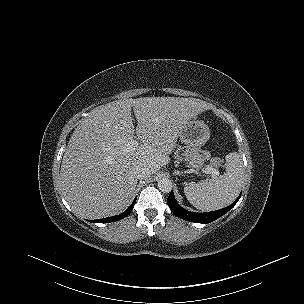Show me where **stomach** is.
I'll list each match as a JSON object with an SVG mask.
<instances>
[{
    "mask_svg": "<svg viewBox=\"0 0 304 304\" xmlns=\"http://www.w3.org/2000/svg\"><path fill=\"white\" fill-rule=\"evenodd\" d=\"M181 141L187 145L183 160L191 170H200L204 167L206 157L200 152V148L210 138V129L204 121L194 118L189 120L180 131Z\"/></svg>",
    "mask_w": 304,
    "mask_h": 304,
    "instance_id": "stomach-1",
    "label": "stomach"
}]
</instances>
